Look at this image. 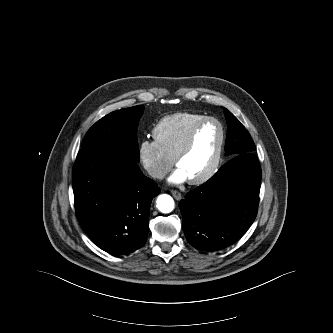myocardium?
Wrapping results in <instances>:
<instances>
[{
    "mask_svg": "<svg viewBox=\"0 0 333 333\" xmlns=\"http://www.w3.org/2000/svg\"><path fill=\"white\" fill-rule=\"evenodd\" d=\"M209 123H215L218 125L220 129V142L218 145V150L215 156V159L211 166L208 168L207 171H205L202 175H200L197 178L188 180L189 184L191 185H200L208 181L210 178H212L216 172L218 171L222 158H223V152H224V147L226 143V131L225 127L222 124L220 120H218L215 117H206L199 123H197L190 131L188 134L187 138L185 139L184 143L182 146L178 149L176 154L173 157V163L175 166L178 165L179 160L184 157L192 148L195 138L197 136V133L207 124Z\"/></svg>",
    "mask_w": 333,
    "mask_h": 333,
    "instance_id": "myocardium-1",
    "label": "myocardium"
}]
</instances>
